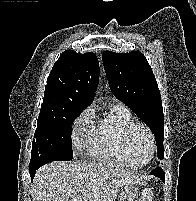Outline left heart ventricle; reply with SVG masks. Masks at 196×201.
I'll return each mask as SVG.
<instances>
[{"mask_svg":"<svg viewBox=\"0 0 196 201\" xmlns=\"http://www.w3.org/2000/svg\"><path fill=\"white\" fill-rule=\"evenodd\" d=\"M130 152L132 162L141 165L150 155V142L147 134L142 129H136L130 139Z\"/></svg>","mask_w":196,"mask_h":201,"instance_id":"b2bd125f","label":"left heart ventricle"}]
</instances>
